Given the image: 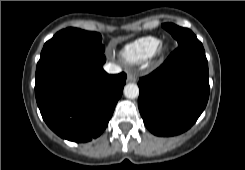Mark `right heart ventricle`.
<instances>
[{
	"instance_id": "e07e8e85",
	"label": "right heart ventricle",
	"mask_w": 245,
	"mask_h": 170,
	"mask_svg": "<svg viewBox=\"0 0 245 170\" xmlns=\"http://www.w3.org/2000/svg\"><path fill=\"white\" fill-rule=\"evenodd\" d=\"M159 44L160 40L154 36L141 37L125 45L120 56L128 63H140L151 58Z\"/></svg>"
}]
</instances>
